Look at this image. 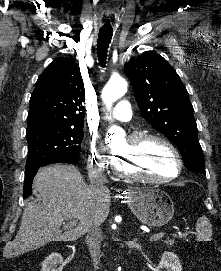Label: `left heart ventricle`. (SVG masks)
Instances as JSON below:
<instances>
[{
	"instance_id": "b2bd125f",
	"label": "left heart ventricle",
	"mask_w": 221,
	"mask_h": 271,
	"mask_svg": "<svg viewBox=\"0 0 221 271\" xmlns=\"http://www.w3.org/2000/svg\"><path fill=\"white\" fill-rule=\"evenodd\" d=\"M161 141L147 138L136 141L138 156H121V160H114L115 168H119L120 175H148V177H177L176 165H173L170 153L171 147L157 144Z\"/></svg>"
}]
</instances>
